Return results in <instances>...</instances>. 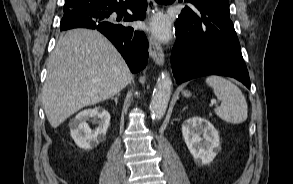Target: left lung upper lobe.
<instances>
[{
	"label": "left lung upper lobe",
	"instance_id": "obj_1",
	"mask_svg": "<svg viewBox=\"0 0 293 184\" xmlns=\"http://www.w3.org/2000/svg\"><path fill=\"white\" fill-rule=\"evenodd\" d=\"M190 3L203 2L205 4H210L211 6L224 9L229 12V0H187Z\"/></svg>",
	"mask_w": 293,
	"mask_h": 184
}]
</instances>
